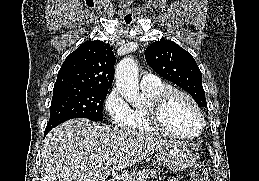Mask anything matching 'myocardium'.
Segmentation results:
<instances>
[{
  "mask_svg": "<svg viewBox=\"0 0 259 181\" xmlns=\"http://www.w3.org/2000/svg\"><path fill=\"white\" fill-rule=\"evenodd\" d=\"M176 96L186 99L196 110L200 119V127L195 134H181L175 132L167 126L164 119L165 111L169 105V102ZM147 111L151 124L161 133L172 137L179 139L197 138L203 133L205 128V116L199 104L191 95L176 88L169 87L161 91L150 101Z\"/></svg>",
  "mask_w": 259,
  "mask_h": 181,
  "instance_id": "myocardium-1",
  "label": "myocardium"
}]
</instances>
